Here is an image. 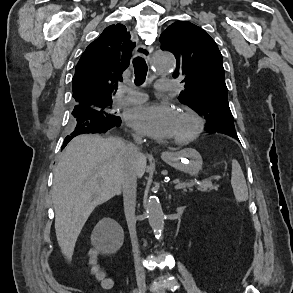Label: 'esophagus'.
Listing matches in <instances>:
<instances>
[{"label": "esophagus", "mask_w": 293, "mask_h": 293, "mask_svg": "<svg viewBox=\"0 0 293 293\" xmlns=\"http://www.w3.org/2000/svg\"><path fill=\"white\" fill-rule=\"evenodd\" d=\"M152 51H153V48L151 46H145L140 44L136 48V55L146 60H149ZM162 155L166 156V155H169V153L165 151V152H162Z\"/></svg>", "instance_id": "esophagus-1"}]
</instances>
